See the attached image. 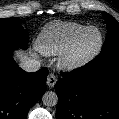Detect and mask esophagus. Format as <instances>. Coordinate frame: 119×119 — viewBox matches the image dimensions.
Masks as SVG:
<instances>
[{
	"label": "esophagus",
	"mask_w": 119,
	"mask_h": 119,
	"mask_svg": "<svg viewBox=\"0 0 119 119\" xmlns=\"http://www.w3.org/2000/svg\"><path fill=\"white\" fill-rule=\"evenodd\" d=\"M56 82H57V77L54 74L50 73L47 77V81H46L47 85L52 88L54 87Z\"/></svg>",
	"instance_id": "1"
}]
</instances>
